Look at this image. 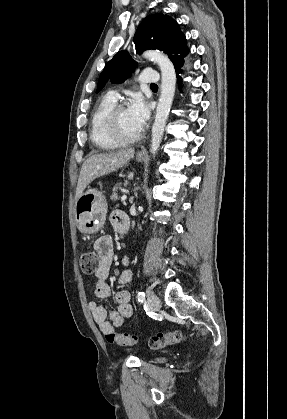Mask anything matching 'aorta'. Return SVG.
<instances>
[{
	"label": "aorta",
	"instance_id": "762f6f07",
	"mask_svg": "<svg viewBox=\"0 0 287 419\" xmlns=\"http://www.w3.org/2000/svg\"><path fill=\"white\" fill-rule=\"evenodd\" d=\"M144 57L157 63L161 70L160 98L156 109L155 121L152 126L150 146V152L154 157L162 141L172 106L176 87V72L170 59L159 51H146Z\"/></svg>",
	"mask_w": 287,
	"mask_h": 419
}]
</instances>
